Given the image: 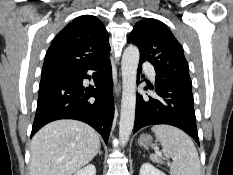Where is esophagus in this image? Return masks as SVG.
Returning a JSON list of instances; mask_svg holds the SVG:
<instances>
[{"label": "esophagus", "mask_w": 233, "mask_h": 175, "mask_svg": "<svg viewBox=\"0 0 233 175\" xmlns=\"http://www.w3.org/2000/svg\"><path fill=\"white\" fill-rule=\"evenodd\" d=\"M114 93H115L116 96L119 95V93H120V86H115L114 87Z\"/></svg>", "instance_id": "obj_1"}]
</instances>
